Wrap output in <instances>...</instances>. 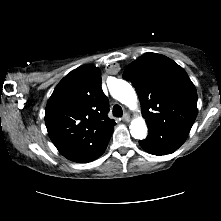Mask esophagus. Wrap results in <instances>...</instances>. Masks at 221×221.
<instances>
[{"label":"esophagus","mask_w":221,"mask_h":221,"mask_svg":"<svg viewBox=\"0 0 221 221\" xmlns=\"http://www.w3.org/2000/svg\"><path fill=\"white\" fill-rule=\"evenodd\" d=\"M122 120L125 121V122H129L130 121V116L127 113H125L122 117Z\"/></svg>","instance_id":"1"}]
</instances>
